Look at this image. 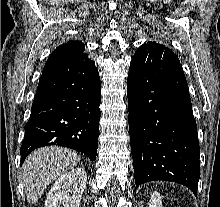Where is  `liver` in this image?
I'll return each instance as SVG.
<instances>
[{"instance_id": "liver-1", "label": "liver", "mask_w": 220, "mask_h": 207, "mask_svg": "<svg viewBox=\"0 0 220 207\" xmlns=\"http://www.w3.org/2000/svg\"><path fill=\"white\" fill-rule=\"evenodd\" d=\"M78 155L67 148L43 147L33 151L22 166V182L27 201L35 204L47 186L79 162Z\"/></svg>"}]
</instances>
